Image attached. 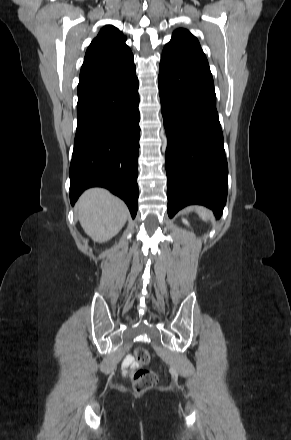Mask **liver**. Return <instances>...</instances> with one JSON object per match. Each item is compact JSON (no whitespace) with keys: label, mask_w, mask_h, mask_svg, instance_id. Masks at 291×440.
Returning <instances> with one entry per match:
<instances>
[{"label":"liver","mask_w":291,"mask_h":440,"mask_svg":"<svg viewBox=\"0 0 291 440\" xmlns=\"http://www.w3.org/2000/svg\"><path fill=\"white\" fill-rule=\"evenodd\" d=\"M77 212L85 233L98 243L117 235L129 215L125 203L102 188L85 191L77 203Z\"/></svg>","instance_id":"obj_1"}]
</instances>
